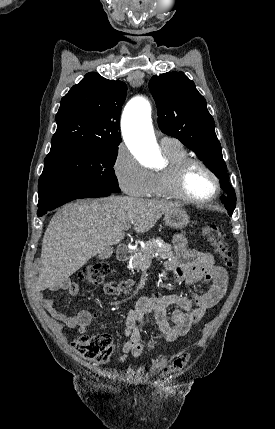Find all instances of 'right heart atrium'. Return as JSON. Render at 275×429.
Returning a JSON list of instances; mask_svg holds the SVG:
<instances>
[{
  "mask_svg": "<svg viewBox=\"0 0 275 429\" xmlns=\"http://www.w3.org/2000/svg\"><path fill=\"white\" fill-rule=\"evenodd\" d=\"M113 172L120 188L126 194L134 197L148 195L152 185V172L141 165L123 144L117 148Z\"/></svg>",
  "mask_w": 275,
  "mask_h": 429,
  "instance_id": "1",
  "label": "right heart atrium"
}]
</instances>
